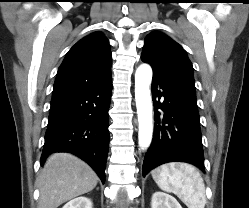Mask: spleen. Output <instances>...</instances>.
Masks as SVG:
<instances>
[{
  "instance_id": "obj_1",
  "label": "spleen",
  "mask_w": 249,
  "mask_h": 208,
  "mask_svg": "<svg viewBox=\"0 0 249 208\" xmlns=\"http://www.w3.org/2000/svg\"><path fill=\"white\" fill-rule=\"evenodd\" d=\"M152 177L163 191L177 195L188 208H204L205 185L196 168L187 163H168L152 171Z\"/></svg>"
}]
</instances>
